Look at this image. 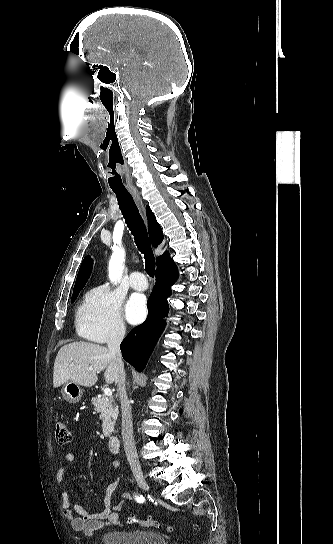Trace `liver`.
Returning <instances> with one entry per match:
<instances>
[{
	"label": "liver",
	"mask_w": 333,
	"mask_h": 544,
	"mask_svg": "<svg viewBox=\"0 0 333 544\" xmlns=\"http://www.w3.org/2000/svg\"><path fill=\"white\" fill-rule=\"evenodd\" d=\"M103 370L105 382L116 384L118 364L109 349L84 341L66 344L60 348L55 359L53 387L57 388L68 381L91 387L96 384L98 374Z\"/></svg>",
	"instance_id": "1"
}]
</instances>
